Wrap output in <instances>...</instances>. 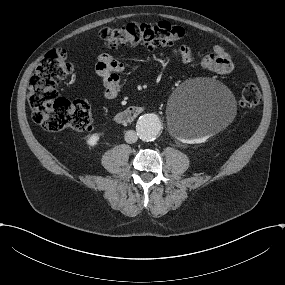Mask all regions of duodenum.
I'll use <instances>...</instances> for the list:
<instances>
[{
	"instance_id": "obj_1",
	"label": "duodenum",
	"mask_w": 285,
	"mask_h": 285,
	"mask_svg": "<svg viewBox=\"0 0 285 285\" xmlns=\"http://www.w3.org/2000/svg\"><path fill=\"white\" fill-rule=\"evenodd\" d=\"M141 106H131L120 112H118L115 116V120L117 123L121 125L129 124L136 120L140 114L142 113Z\"/></svg>"
}]
</instances>
